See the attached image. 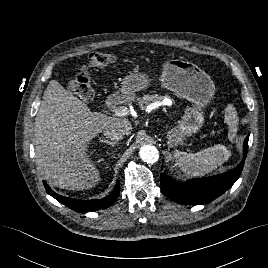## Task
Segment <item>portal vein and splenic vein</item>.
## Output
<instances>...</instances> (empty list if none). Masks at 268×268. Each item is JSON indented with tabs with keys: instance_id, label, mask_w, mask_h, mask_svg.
Returning a JSON list of instances; mask_svg holds the SVG:
<instances>
[{
	"instance_id": "18ae733b",
	"label": "portal vein and splenic vein",
	"mask_w": 268,
	"mask_h": 268,
	"mask_svg": "<svg viewBox=\"0 0 268 268\" xmlns=\"http://www.w3.org/2000/svg\"><path fill=\"white\" fill-rule=\"evenodd\" d=\"M114 114L118 117H126L129 115V110L125 106L116 107L114 109Z\"/></svg>"
}]
</instances>
